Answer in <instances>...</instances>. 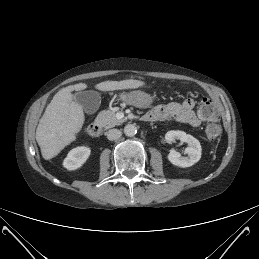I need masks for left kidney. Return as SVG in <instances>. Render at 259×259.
I'll use <instances>...</instances> for the list:
<instances>
[{
  "label": "left kidney",
  "instance_id": "left-kidney-1",
  "mask_svg": "<svg viewBox=\"0 0 259 259\" xmlns=\"http://www.w3.org/2000/svg\"><path fill=\"white\" fill-rule=\"evenodd\" d=\"M167 142L172 143L175 140H180L188 144L185 153L188 157H182L181 154L174 149L170 150L167 158L175 166L186 168L197 163L201 158V145L200 142L192 135L186 134L184 131L171 130L165 134Z\"/></svg>",
  "mask_w": 259,
  "mask_h": 259
}]
</instances>
